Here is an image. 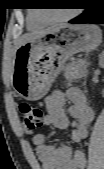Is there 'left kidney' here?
I'll use <instances>...</instances> for the list:
<instances>
[{"instance_id":"5707ae66","label":"left kidney","mask_w":104,"mask_h":169,"mask_svg":"<svg viewBox=\"0 0 104 169\" xmlns=\"http://www.w3.org/2000/svg\"><path fill=\"white\" fill-rule=\"evenodd\" d=\"M100 62H101V63L103 62V57L100 58Z\"/></svg>"}]
</instances>
